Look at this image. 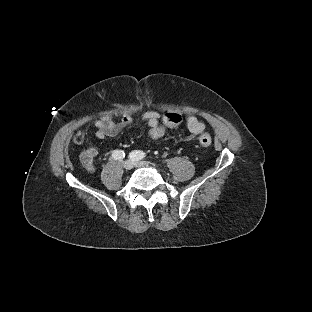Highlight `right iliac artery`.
<instances>
[{"label": "right iliac artery", "instance_id": "right-iliac-artery-1", "mask_svg": "<svg viewBox=\"0 0 312 312\" xmlns=\"http://www.w3.org/2000/svg\"><path fill=\"white\" fill-rule=\"evenodd\" d=\"M112 157L114 159H122L125 157V152L122 150H115L112 152Z\"/></svg>", "mask_w": 312, "mask_h": 312}]
</instances>
